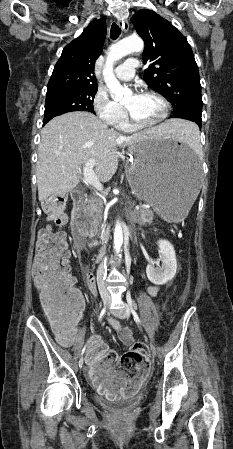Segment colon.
Listing matches in <instances>:
<instances>
[{
	"mask_svg": "<svg viewBox=\"0 0 233 449\" xmlns=\"http://www.w3.org/2000/svg\"><path fill=\"white\" fill-rule=\"evenodd\" d=\"M66 203L67 199L64 196L52 197L44 203L47 217L57 227H62L66 223ZM37 248L33 279L40 291L46 314L54 323L72 321L81 311L83 296L75 287L70 271L68 264L70 253L65 234L49 226L45 227L40 232ZM145 350L144 343H136L132 351L121 357V368L133 373L134 368L145 367L147 364L143 355Z\"/></svg>",
	"mask_w": 233,
	"mask_h": 449,
	"instance_id": "1",
	"label": "colon"
}]
</instances>
